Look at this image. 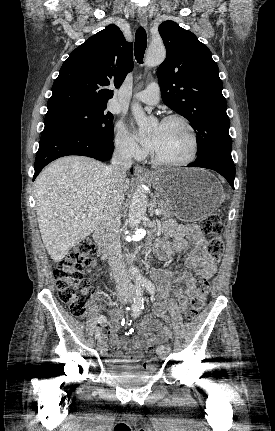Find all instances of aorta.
Returning <instances> with one entry per match:
<instances>
[{
	"mask_svg": "<svg viewBox=\"0 0 275 431\" xmlns=\"http://www.w3.org/2000/svg\"><path fill=\"white\" fill-rule=\"evenodd\" d=\"M166 57V50L164 46H151L146 54L145 64L148 67H153L161 64ZM133 116L141 130H147L154 125V120L149 119L140 104L134 103L132 105ZM148 192L144 185H139L134 191L129 207L128 222L130 227L137 226L141 220L144 218L147 203H148ZM132 275L135 277L136 281H142L143 276L140 274L139 270L132 266L130 268Z\"/></svg>",
	"mask_w": 275,
	"mask_h": 431,
	"instance_id": "1",
	"label": "aorta"
}]
</instances>
